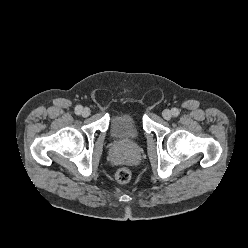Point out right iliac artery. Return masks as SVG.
<instances>
[{"instance_id": "right-iliac-artery-1", "label": "right iliac artery", "mask_w": 248, "mask_h": 248, "mask_svg": "<svg viewBox=\"0 0 248 248\" xmlns=\"http://www.w3.org/2000/svg\"><path fill=\"white\" fill-rule=\"evenodd\" d=\"M83 107L81 105H78L75 107V113L79 115L82 112Z\"/></svg>"}]
</instances>
